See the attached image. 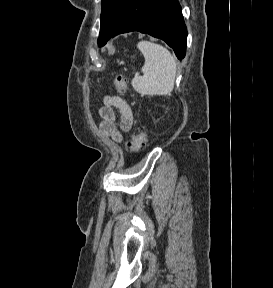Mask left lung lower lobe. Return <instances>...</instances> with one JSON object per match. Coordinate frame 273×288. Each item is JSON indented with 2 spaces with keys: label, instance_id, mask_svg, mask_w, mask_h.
<instances>
[{
  "label": "left lung lower lobe",
  "instance_id": "left-lung-lower-lobe-1",
  "mask_svg": "<svg viewBox=\"0 0 273 288\" xmlns=\"http://www.w3.org/2000/svg\"><path fill=\"white\" fill-rule=\"evenodd\" d=\"M132 31L162 39L179 60L185 56L187 29L178 0H132L112 37Z\"/></svg>",
  "mask_w": 273,
  "mask_h": 288
}]
</instances>
